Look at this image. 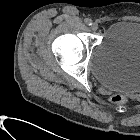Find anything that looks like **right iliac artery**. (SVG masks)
Masks as SVG:
<instances>
[{
	"mask_svg": "<svg viewBox=\"0 0 140 140\" xmlns=\"http://www.w3.org/2000/svg\"><path fill=\"white\" fill-rule=\"evenodd\" d=\"M85 23H86L87 25L91 26V25H92V20L89 19V18H87V19H85Z\"/></svg>",
	"mask_w": 140,
	"mask_h": 140,
	"instance_id": "right-iliac-artery-1",
	"label": "right iliac artery"
}]
</instances>
